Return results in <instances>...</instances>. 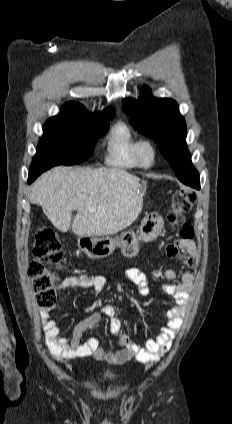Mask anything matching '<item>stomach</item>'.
<instances>
[{
  "instance_id": "1",
  "label": "stomach",
  "mask_w": 232,
  "mask_h": 424,
  "mask_svg": "<svg viewBox=\"0 0 232 424\" xmlns=\"http://www.w3.org/2000/svg\"><path fill=\"white\" fill-rule=\"evenodd\" d=\"M164 221L161 217L146 219L140 226L139 234L127 231L120 237L114 239L110 237L81 236L78 238V245L90 258L99 259L110 256L116 247H120L127 256H135L138 252V242H150L162 233Z\"/></svg>"
}]
</instances>
